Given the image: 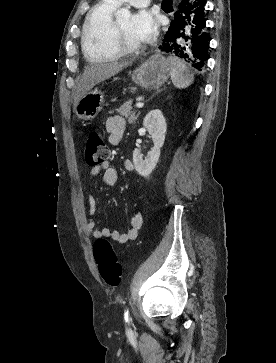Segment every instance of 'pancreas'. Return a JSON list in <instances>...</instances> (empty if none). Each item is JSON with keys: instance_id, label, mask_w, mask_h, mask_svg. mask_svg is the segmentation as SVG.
<instances>
[{"instance_id": "1", "label": "pancreas", "mask_w": 276, "mask_h": 363, "mask_svg": "<svg viewBox=\"0 0 276 363\" xmlns=\"http://www.w3.org/2000/svg\"><path fill=\"white\" fill-rule=\"evenodd\" d=\"M116 112L125 117L129 123H133L137 118L135 116L136 111L133 110V102L127 101L120 108L116 109ZM112 113V112H111Z\"/></svg>"}]
</instances>
